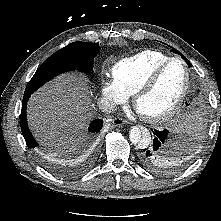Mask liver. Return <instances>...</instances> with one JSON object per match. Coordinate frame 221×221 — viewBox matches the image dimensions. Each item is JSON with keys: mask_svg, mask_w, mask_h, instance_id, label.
Here are the masks:
<instances>
[{"mask_svg": "<svg viewBox=\"0 0 221 221\" xmlns=\"http://www.w3.org/2000/svg\"><path fill=\"white\" fill-rule=\"evenodd\" d=\"M90 94L85 78L72 73L59 76L31 96L29 128L54 156L78 149L93 116Z\"/></svg>", "mask_w": 221, "mask_h": 221, "instance_id": "obj_1", "label": "liver"}]
</instances>
